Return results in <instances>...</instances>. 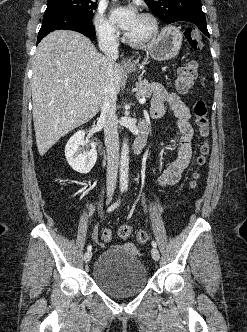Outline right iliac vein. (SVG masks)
Wrapping results in <instances>:
<instances>
[{
    "label": "right iliac vein",
    "instance_id": "obj_1",
    "mask_svg": "<svg viewBox=\"0 0 247 332\" xmlns=\"http://www.w3.org/2000/svg\"><path fill=\"white\" fill-rule=\"evenodd\" d=\"M91 258H92V252L91 251H88L84 254V261L86 263H88L91 260Z\"/></svg>",
    "mask_w": 247,
    "mask_h": 332
}]
</instances>
